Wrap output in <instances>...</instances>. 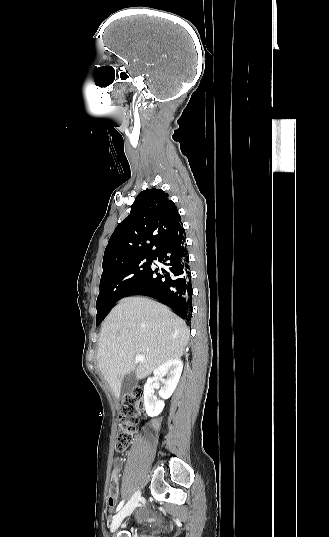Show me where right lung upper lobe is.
<instances>
[{
    "label": "right lung upper lobe",
    "mask_w": 329,
    "mask_h": 537,
    "mask_svg": "<svg viewBox=\"0 0 329 537\" xmlns=\"http://www.w3.org/2000/svg\"><path fill=\"white\" fill-rule=\"evenodd\" d=\"M181 217L168 194L147 189L136 197L130 214L114 230L104 252L102 267L118 266L152 257L184 229Z\"/></svg>",
    "instance_id": "1"
}]
</instances>
